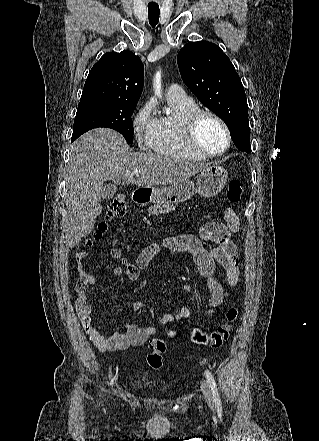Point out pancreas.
I'll return each mask as SVG.
<instances>
[{
  "instance_id": "1",
  "label": "pancreas",
  "mask_w": 319,
  "mask_h": 441,
  "mask_svg": "<svg viewBox=\"0 0 319 441\" xmlns=\"http://www.w3.org/2000/svg\"><path fill=\"white\" fill-rule=\"evenodd\" d=\"M175 209V206L173 204H165L160 206V204H155L154 206H151L148 209L149 214L151 215H159V214H165L170 211H173Z\"/></svg>"
}]
</instances>
